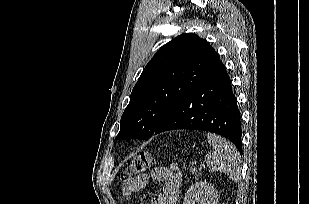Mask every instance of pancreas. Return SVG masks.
Returning a JSON list of instances; mask_svg holds the SVG:
<instances>
[{"label":"pancreas","instance_id":"pancreas-1","mask_svg":"<svg viewBox=\"0 0 309 204\" xmlns=\"http://www.w3.org/2000/svg\"><path fill=\"white\" fill-rule=\"evenodd\" d=\"M190 172H191L192 174H196V169H195V168H191V169H190Z\"/></svg>","mask_w":309,"mask_h":204}]
</instances>
